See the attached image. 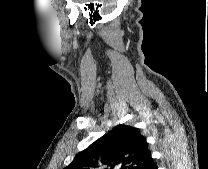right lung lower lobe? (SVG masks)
I'll return each instance as SVG.
<instances>
[{
    "instance_id": "obj_1",
    "label": "right lung lower lobe",
    "mask_w": 208,
    "mask_h": 169,
    "mask_svg": "<svg viewBox=\"0 0 208 169\" xmlns=\"http://www.w3.org/2000/svg\"><path fill=\"white\" fill-rule=\"evenodd\" d=\"M143 169H156V165L153 161V159H151Z\"/></svg>"
}]
</instances>
